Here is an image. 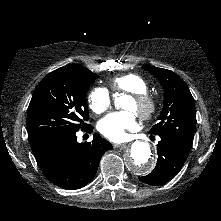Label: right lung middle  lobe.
<instances>
[{
  "mask_svg": "<svg viewBox=\"0 0 221 221\" xmlns=\"http://www.w3.org/2000/svg\"><path fill=\"white\" fill-rule=\"evenodd\" d=\"M98 75L85 67H61L47 74L30 101L27 130L30 145L48 136L78 131L89 119L86 93Z\"/></svg>",
  "mask_w": 221,
  "mask_h": 221,
  "instance_id": "1",
  "label": "right lung middle lobe"
}]
</instances>
